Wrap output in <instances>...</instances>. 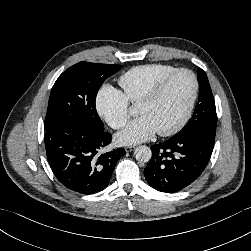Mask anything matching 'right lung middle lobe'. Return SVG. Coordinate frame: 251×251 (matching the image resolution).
<instances>
[{
    "label": "right lung middle lobe",
    "mask_w": 251,
    "mask_h": 251,
    "mask_svg": "<svg viewBox=\"0 0 251 251\" xmlns=\"http://www.w3.org/2000/svg\"><path fill=\"white\" fill-rule=\"evenodd\" d=\"M121 65L79 62L63 72L54 83L45 118V130L64 122H82L99 131L104 125L95 101L104 80Z\"/></svg>",
    "instance_id": "dd1d6c3e"
}]
</instances>
